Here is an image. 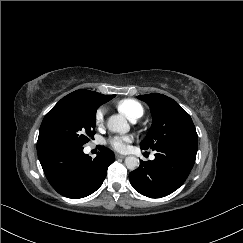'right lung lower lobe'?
<instances>
[{"label": "right lung lower lobe", "instance_id": "1", "mask_svg": "<svg viewBox=\"0 0 243 243\" xmlns=\"http://www.w3.org/2000/svg\"><path fill=\"white\" fill-rule=\"evenodd\" d=\"M37 152L51 186L59 194L73 199L95 192L115 160L114 153L103 146L94 159L83 153L82 146L55 145Z\"/></svg>", "mask_w": 243, "mask_h": 243}]
</instances>
